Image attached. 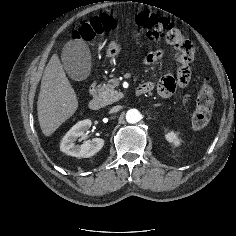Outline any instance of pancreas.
I'll list each match as a JSON object with an SVG mask.
<instances>
[{
	"mask_svg": "<svg viewBox=\"0 0 236 236\" xmlns=\"http://www.w3.org/2000/svg\"><path fill=\"white\" fill-rule=\"evenodd\" d=\"M115 86L112 84H102L98 86L97 98L102 101L104 105L112 104L118 101L123 94L114 90Z\"/></svg>",
	"mask_w": 236,
	"mask_h": 236,
	"instance_id": "1",
	"label": "pancreas"
}]
</instances>
